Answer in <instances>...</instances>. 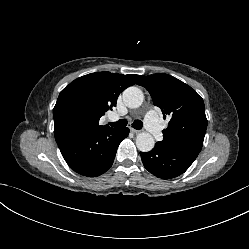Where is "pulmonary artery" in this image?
<instances>
[{
	"mask_svg": "<svg viewBox=\"0 0 249 249\" xmlns=\"http://www.w3.org/2000/svg\"><path fill=\"white\" fill-rule=\"evenodd\" d=\"M144 124L146 128L149 130L151 135L156 140H161L162 138V130L159 125V119L156 111L150 110L146 113L144 118Z\"/></svg>",
	"mask_w": 249,
	"mask_h": 249,
	"instance_id": "e3ab8cb5",
	"label": "pulmonary artery"
}]
</instances>
